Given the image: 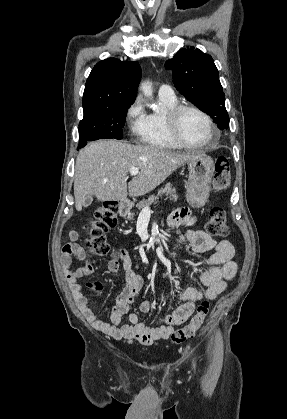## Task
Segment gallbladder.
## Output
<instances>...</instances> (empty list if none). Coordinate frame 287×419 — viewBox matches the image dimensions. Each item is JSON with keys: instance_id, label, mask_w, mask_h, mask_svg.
Instances as JSON below:
<instances>
[{"instance_id": "gallbladder-1", "label": "gallbladder", "mask_w": 287, "mask_h": 419, "mask_svg": "<svg viewBox=\"0 0 287 419\" xmlns=\"http://www.w3.org/2000/svg\"><path fill=\"white\" fill-rule=\"evenodd\" d=\"M92 201H93V198L91 196L87 197L86 200L83 203V207L84 208L89 207L91 205Z\"/></svg>"}]
</instances>
